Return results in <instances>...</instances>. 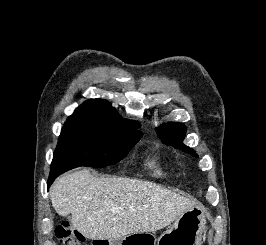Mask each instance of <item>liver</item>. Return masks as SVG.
<instances>
[{
	"instance_id": "1",
	"label": "liver",
	"mask_w": 266,
	"mask_h": 245,
	"mask_svg": "<svg viewBox=\"0 0 266 245\" xmlns=\"http://www.w3.org/2000/svg\"><path fill=\"white\" fill-rule=\"evenodd\" d=\"M50 197L56 213H71L74 229L93 241L160 231L195 207L194 201L156 183L93 177L88 169L58 177Z\"/></svg>"
}]
</instances>
